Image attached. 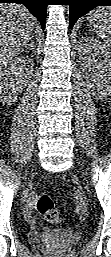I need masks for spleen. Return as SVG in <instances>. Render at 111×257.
I'll list each match as a JSON object with an SVG mask.
<instances>
[{
	"mask_svg": "<svg viewBox=\"0 0 111 257\" xmlns=\"http://www.w3.org/2000/svg\"><path fill=\"white\" fill-rule=\"evenodd\" d=\"M89 26L96 35L111 47V7H98L87 17Z\"/></svg>",
	"mask_w": 111,
	"mask_h": 257,
	"instance_id": "obj_1",
	"label": "spleen"
}]
</instances>
